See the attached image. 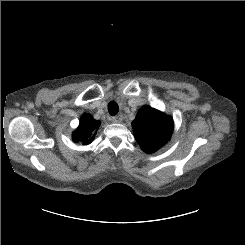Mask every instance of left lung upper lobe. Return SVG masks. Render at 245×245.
Returning <instances> with one entry per match:
<instances>
[{
	"label": "left lung upper lobe",
	"instance_id": "5c2ea615",
	"mask_svg": "<svg viewBox=\"0 0 245 245\" xmlns=\"http://www.w3.org/2000/svg\"><path fill=\"white\" fill-rule=\"evenodd\" d=\"M134 136L141 149L152 153L162 147L173 132V119L164 113L143 106L132 122Z\"/></svg>",
	"mask_w": 245,
	"mask_h": 245
}]
</instances>
